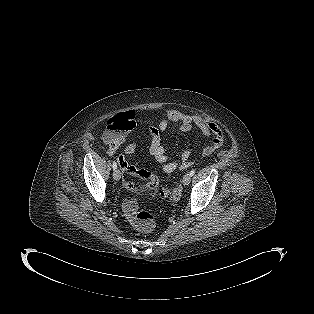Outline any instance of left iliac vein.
Segmentation results:
<instances>
[{
    "label": "left iliac vein",
    "instance_id": "4c4485c4",
    "mask_svg": "<svg viewBox=\"0 0 314 314\" xmlns=\"http://www.w3.org/2000/svg\"><path fill=\"white\" fill-rule=\"evenodd\" d=\"M190 181H191V175L190 173H186L183 177V181H182L183 185H189Z\"/></svg>",
    "mask_w": 314,
    "mask_h": 314
}]
</instances>
